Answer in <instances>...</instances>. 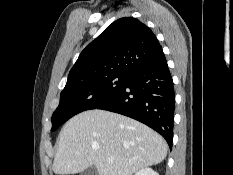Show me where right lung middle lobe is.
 <instances>
[{"mask_svg":"<svg viewBox=\"0 0 233 175\" xmlns=\"http://www.w3.org/2000/svg\"><path fill=\"white\" fill-rule=\"evenodd\" d=\"M128 79L129 74L112 72L67 83L61 92L59 106L52 115L51 131L74 115L111 100Z\"/></svg>","mask_w":233,"mask_h":175,"instance_id":"dd1d6c3e","label":"right lung middle lobe"}]
</instances>
